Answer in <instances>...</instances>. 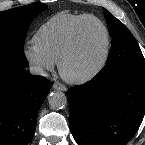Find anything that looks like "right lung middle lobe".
Returning <instances> with one entry per match:
<instances>
[{"label":"right lung middle lobe","mask_w":145,"mask_h":145,"mask_svg":"<svg viewBox=\"0 0 145 145\" xmlns=\"http://www.w3.org/2000/svg\"><path fill=\"white\" fill-rule=\"evenodd\" d=\"M43 3H33L0 12V74L26 68L24 54L27 30L34 18L44 11Z\"/></svg>","instance_id":"right-lung-middle-lobe-1"}]
</instances>
